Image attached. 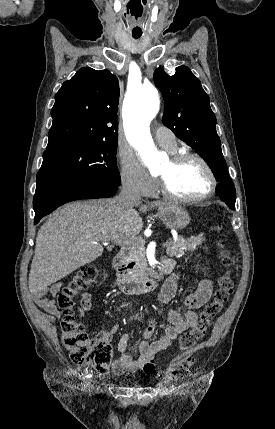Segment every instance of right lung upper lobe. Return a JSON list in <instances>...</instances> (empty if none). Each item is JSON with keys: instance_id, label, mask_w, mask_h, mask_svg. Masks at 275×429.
I'll list each match as a JSON object with an SVG mask.
<instances>
[{"instance_id": "cb5924a9", "label": "right lung upper lobe", "mask_w": 275, "mask_h": 429, "mask_svg": "<svg viewBox=\"0 0 275 429\" xmlns=\"http://www.w3.org/2000/svg\"><path fill=\"white\" fill-rule=\"evenodd\" d=\"M119 82L109 70L81 68L55 95L46 151L118 140Z\"/></svg>"}]
</instances>
